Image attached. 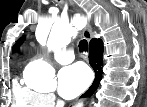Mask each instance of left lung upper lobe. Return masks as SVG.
Segmentation results:
<instances>
[{
	"instance_id": "5c2ea615",
	"label": "left lung upper lobe",
	"mask_w": 147,
	"mask_h": 107,
	"mask_svg": "<svg viewBox=\"0 0 147 107\" xmlns=\"http://www.w3.org/2000/svg\"><path fill=\"white\" fill-rule=\"evenodd\" d=\"M24 36L22 37V38H20L17 42H16V44H15V46H14V49H16L17 48V46L18 45H20L23 41H24Z\"/></svg>"
}]
</instances>
